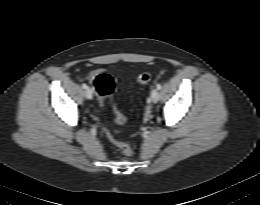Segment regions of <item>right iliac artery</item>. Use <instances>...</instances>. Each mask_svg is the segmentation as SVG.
<instances>
[{
  "instance_id": "right-iliac-artery-1",
  "label": "right iliac artery",
  "mask_w": 260,
  "mask_h": 205,
  "mask_svg": "<svg viewBox=\"0 0 260 205\" xmlns=\"http://www.w3.org/2000/svg\"><path fill=\"white\" fill-rule=\"evenodd\" d=\"M82 87H83L84 89H87V88H88L87 84H85V83L82 84Z\"/></svg>"
}]
</instances>
